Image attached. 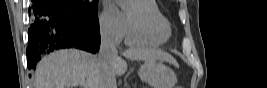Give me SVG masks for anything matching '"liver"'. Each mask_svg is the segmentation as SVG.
Here are the masks:
<instances>
[{
  "label": "liver",
  "mask_w": 267,
  "mask_h": 88,
  "mask_svg": "<svg viewBox=\"0 0 267 88\" xmlns=\"http://www.w3.org/2000/svg\"><path fill=\"white\" fill-rule=\"evenodd\" d=\"M122 55L136 61H161L175 64L174 58L163 51L149 48H131ZM113 68L115 74L123 75L127 63L118 57ZM99 60L96 55L76 49L59 50L44 57L35 72L36 88H95L99 82Z\"/></svg>",
  "instance_id": "obj_1"
}]
</instances>
